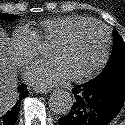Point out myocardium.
<instances>
[{
  "mask_svg": "<svg viewBox=\"0 0 125 125\" xmlns=\"http://www.w3.org/2000/svg\"><path fill=\"white\" fill-rule=\"evenodd\" d=\"M86 25H97L99 26L104 35H105V44H104V48H103V52L101 55L100 60L98 61V63L88 72L81 74V75H77V76H71V80L74 82H84L87 81L91 78H93L94 76H96L97 74H99L102 69L104 68V66L106 65L108 59H109V55H110V49H111V43H112V35H111V31L110 29L101 21L96 20V19H87L85 21L79 22L77 24H74L72 26H70L64 33H62L59 37H57L52 43L51 45H61L65 42H67L71 36L81 27L86 26Z\"/></svg>",
  "mask_w": 125,
  "mask_h": 125,
  "instance_id": "obj_1",
  "label": "myocardium"
}]
</instances>
